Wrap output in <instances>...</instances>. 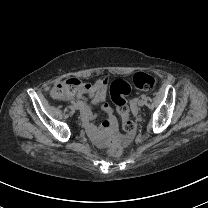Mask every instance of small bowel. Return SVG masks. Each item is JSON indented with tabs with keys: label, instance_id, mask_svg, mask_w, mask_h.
Wrapping results in <instances>:
<instances>
[{
	"label": "small bowel",
	"instance_id": "c3829d8e",
	"mask_svg": "<svg viewBox=\"0 0 208 208\" xmlns=\"http://www.w3.org/2000/svg\"><path fill=\"white\" fill-rule=\"evenodd\" d=\"M81 85L79 78L72 79L69 83H65L62 89L55 91V96L60 100H72V102L81 108L83 114L87 118L85 120L86 127L89 129L87 135L92 140L95 146H101L106 141V135L113 130L116 124V119L112 114V110L108 102L104 99L106 92V82L98 81L90 88L78 90V94L74 96L72 90H77ZM96 94V95H94ZM102 97V111L105 115V120L100 124L99 134L97 124L92 122L94 113L92 109L95 104L101 102Z\"/></svg>",
	"mask_w": 208,
	"mask_h": 208
}]
</instances>
